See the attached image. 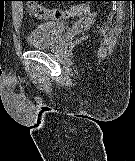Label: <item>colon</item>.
I'll use <instances>...</instances> for the list:
<instances>
[{
	"label": "colon",
	"instance_id": "1",
	"mask_svg": "<svg viewBox=\"0 0 135 161\" xmlns=\"http://www.w3.org/2000/svg\"><path fill=\"white\" fill-rule=\"evenodd\" d=\"M27 1V8L31 15L39 19L45 20H60L69 19L77 16H84L88 13V8L85 5H76L69 9H50L32 0Z\"/></svg>",
	"mask_w": 135,
	"mask_h": 161
}]
</instances>
